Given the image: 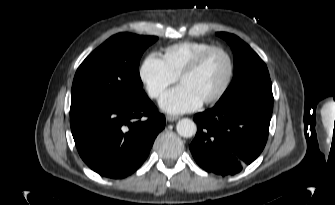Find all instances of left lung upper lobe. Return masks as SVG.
<instances>
[{
	"label": "left lung upper lobe",
	"mask_w": 335,
	"mask_h": 205,
	"mask_svg": "<svg viewBox=\"0 0 335 205\" xmlns=\"http://www.w3.org/2000/svg\"><path fill=\"white\" fill-rule=\"evenodd\" d=\"M230 45L234 53V77L216 104L239 97H256L273 103L272 84L263 60L239 37L216 33Z\"/></svg>",
	"instance_id": "5c2ea615"
}]
</instances>
